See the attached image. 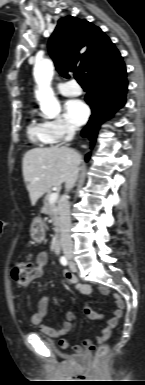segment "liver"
I'll return each instance as SVG.
<instances>
[{
    "label": "liver",
    "instance_id": "6515ba94",
    "mask_svg": "<svg viewBox=\"0 0 145 385\" xmlns=\"http://www.w3.org/2000/svg\"><path fill=\"white\" fill-rule=\"evenodd\" d=\"M80 162V154L67 147L53 146L27 151L22 169L31 204L35 205L51 187H60L66 182Z\"/></svg>",
    "mask_w": 145,
    "mask_h": 385
}]
</instances>
